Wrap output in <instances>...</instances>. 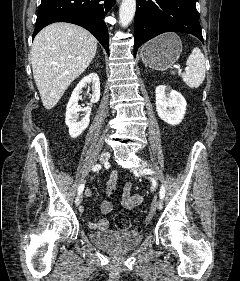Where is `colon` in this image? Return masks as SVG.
Segmentation results:
<instances>
[{
    "label": "colon",
    "instance_id": "1",
    "mask_svg": "<svg viewBox=\"0 0 240 281\" xmlns=\"http://www.w3.org/2000/svg\"><path fill=\"white\" fill-rule=\"evenodd\" d=\"M110 193H112L113 190H108ZM115 226L123 231H129L134 228V225L130 218L126 216L125 214L119 213L115 215L114 218Z\"/></svg>",
    "mask_w": 240,
    "mask_h": 281
}]
</instances>
